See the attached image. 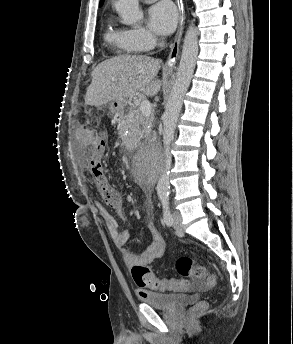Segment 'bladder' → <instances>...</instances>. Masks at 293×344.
I'll use <instances>...</instances> for the list:
<instances>
[{
	"label": "bladder",
	"mask_w": 293,
	"mask_h": 344,
	"mask_svg": "<svg viewBox=\"0 0 293 344\" xmlns=\"http://www.w3.org/2000/svg\"><path fill=\"white\" fill-rule=\"evenodd\" d=\"M141 300L157 309L173 310L180 304L188 302L189 298L182 294L148 291L142 294Z\"/></svg>",
	"instance_id": "obj_1"
}]
</instances>
